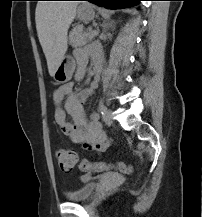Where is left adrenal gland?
Instances as JSON below:
<instances>
[{
  "instance_id": "1",
  "label": "left adrenal gland",
  "mask_w": 202,
  "mask_h": 217,
  "mask_svg": "<svg viewBox=\"0 0 202 217\" xmlns=\"http://www.w3.org/2000/svg\"><path fill=\"white\" fill-rule=\"evenodd\" d=\"M108 28V25H104V29H107Z\"/></svg>"
}]
</instances>
